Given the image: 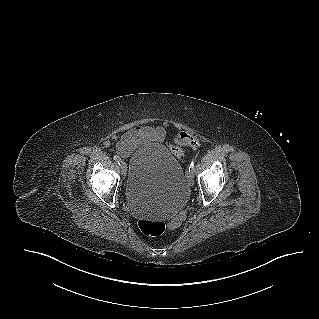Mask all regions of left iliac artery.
Returning <instances> with one entry per match:
<instances>
[{
	"label": "left iliac artery",
	"instance_id": "1",
	"mask_svg": "<svg viewBox=\"0 0 319 319\" xmlns=\"http://www.w3.org/2000/svg\"><path fill=\"white\" fill-rule=\"evenodd\" d=\"M194 165H195V160H192L190 166H189V172H194Z\"/></svg>",
	"mask_w": 319,
	"mask_h": 319
}]
</instances>
